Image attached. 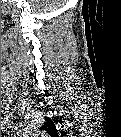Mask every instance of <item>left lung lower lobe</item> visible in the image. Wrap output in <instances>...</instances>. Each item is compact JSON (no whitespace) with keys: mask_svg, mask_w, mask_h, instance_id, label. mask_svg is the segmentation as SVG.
I'll list each match as a JSON object with an SVG mask.
<instances>
[{"mask_svg":"<svg viewBox=\"0 0 121 137\" xmlns=\"http://www.w3.org/2000/svg\"><path fill=\"white\" fill-rule=\"evenodd\" d=\"M55 134H56V130L51 133V135H55Z\"/></svg>","mask_w":121,"mask_h":137,"instance_id":"0a47b994","label":"left lung lower lobe"}]
</instances>
